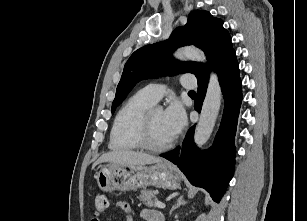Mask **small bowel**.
Segmentation results:
<instances>
[{
	"instance_id": "obj_1",
	"label": "small bowel",
	"mask_w": 307,
	"mask_h": 221,
	"mask_svg": "<svg viewBox=\"0 0 307 221\" xmlns=\"http://www.w3.org/2000/svg\"><path fill=\"white\" fill-rule=\"evenodd\" d=\"M115 208L124 213L126 221H133L135 210L130 204L120 202L116 204ZM141 216L147 221H163L162 215L154 210L144 209L141 211ZM91 221H100V218L94 215Z\"/></svg>"
}]
</instances>
